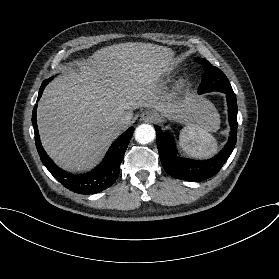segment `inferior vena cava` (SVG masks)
Segmentation results:
<instances>
[{
    "label": "inferior vena cava",
    "mask_w": 279,
    "mask_h": 279,
    "mask_svg": "<svg viewBox=\"0 0 279 279\" xmlns=\"http://www.w3.org/2000/svg\"><path fill=\"white\" fill-rule=\"evenodd\" d=\"M130 121V117L127 112H123L117 115H114L108 121L109 124L115 125L117 129H121V127L126 126Z\"/></svg>",
    "instance_id": "602c4592"
}]
</instances>
